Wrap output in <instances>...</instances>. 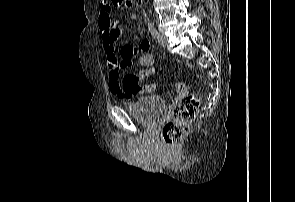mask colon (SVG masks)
<instances>
[{
    "label": "colon",
    "instance_id": "5ec220e1",
    "mask_svg": "<svg viewBox=\"0 0 295 202\" xmlns=\"http://www.w3.org/2000/svg\"><path fill=\"white\" fill-rule=\"evenodd\" d=\"M115 6L131 7L133 0H112ZM155 56L153 52H140L138 65L145 70H136V75H152L155 65ZM122 88L125 91L132 90H158L155 82H143V79H137L133 74H127L123 78ZM175 90L179 93L184 91V85L181 82L175 83ZM201 97L199 94H190L189 98H181L178 101V107L174 108L173 117L168 120L161 129L162 141L170 146L177 145L187 134L190 123L196 117Z\"/></svg>",
    "mask_w": 295,
    "mask_h": 202
}]
</instances>
